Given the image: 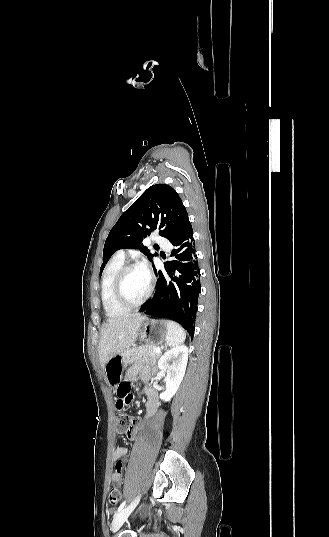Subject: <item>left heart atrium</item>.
I'll list each match as a JSON object with an SVG mask.
<instances>
[{
  "label": "left heart atrium",
  "instance_id": "39dd6f15",
  "mask_svg": "<svg viewBox=\"0 0 329 537\" xmlns=\"http://www.w3.org/2000/svg\"><path fill=\"white\" fill-rule=\"evenodd\" d=\"M139 269L140 271L143 273L144 276H146L148 279L150 278V271H149V268L146 264V262H141L139 264Z\"/></svg>",
  "mask_w": 329,
  "mask_h": 537
}]
</instances>
